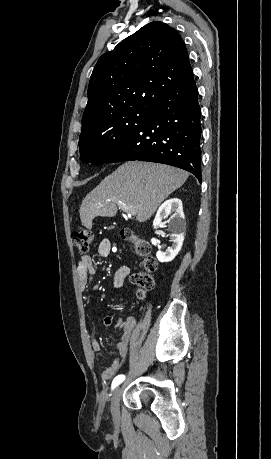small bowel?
Segmentation results:
<instances>
[{
  "label": "small bowel",
  "instance_id": "1",
  "mask_svg": "<svg viewBox=\"0 0 271 459\" xmlns=\"http://www.w3.org/2000/svg\"><path fill=\"white\" fill-rule=\"evenodd\" d=\"M112 251L111 243L108 239H102L97 247V254L100 257H107ZM77 274L80 286L82 289L87 287L88 280L90 276L96 274V269L93 265L92 257L89 255H83L77 263ZM129 274V268L127 266H122L118 268L113 278V287L121 288L124 284L126 277ZM114 320L113 315H108L104 318L103 324L106 327H109ZM119 329L122 331V335L118 343L116 344V349L119 352L121 357H126L129 352V347L132 341L133 331L136 326V320L133 317H128L124 320L119 321ZM91 349L95 352H98L101 349L100 342L97 339H92L90 342ZM121 363L119 359H114L104 370L102 378L105 381L112 379L120 370Z\"/></svg>",
  "mask_w": 271,
  "mask_h": 459
}]
</instances>
